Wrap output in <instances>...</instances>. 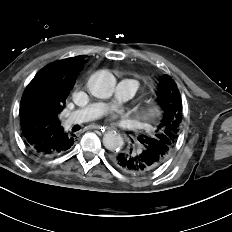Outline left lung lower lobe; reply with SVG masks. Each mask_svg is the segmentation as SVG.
Returning <instances> with one entry per match:
<instances>
[{
    "label": "left lung lower lobe",
    "instance_id": "left-lung-lower-lobe-1",
    "mask_svg": "<svg viewBox=\"0 0 232 232\" xmlns=\"http://www.w3.org/2000/svg\"><path fill=\"white\" fill-rule=\"evenodd\" d=\"M164 160L155 151L141 148L136 153H118L113 157L114 165L121 171L135 176L152 173Z\"/></svg>",
    "mask_w": 232,
    "mask_h": 232
}]
</instances>
